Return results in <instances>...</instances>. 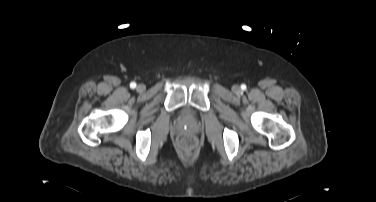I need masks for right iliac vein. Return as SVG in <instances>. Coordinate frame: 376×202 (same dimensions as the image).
Returning <instances> with one entry per match:
<instances>
[{"label": "right iliac vein", "mask_w": 376, "mask_h": 202, "mask_svg": "<svg viewBox=\"0 0 376 202\" xmlns=\"http://www.w3.org/2000/svg\"><path fill=\"white\" fill-rule=\"evenodd\" d=\"M145 89H146V87H145L144 84H139V85L137 86V91H138V92H143Z\"/></svg>", "instance_id": "1"}]
</instances>
